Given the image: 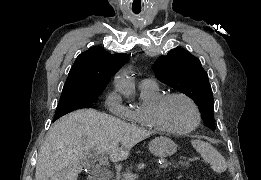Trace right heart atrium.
Masks as SVG:
<instances>
[{"mask_svg":"<svg viewBox=\"0 0 261 180\" xmlns=\"http://www.w3.org/2000/svg\"><path fill=\"white\" fill-rule=\"evenodd\" d=\"M119 100V95L116 89L111 90L105 97V104L107 106L115 105ZM113 114H119V117H123V120L129 119V114L125 110L113 111ZM127 127V125H125Z\"/></svg>","mask_w":261,"mask_h":180,"instance_id":"1","label":"right heart atrium"}]
</instances>
